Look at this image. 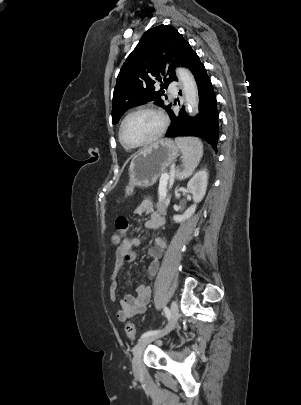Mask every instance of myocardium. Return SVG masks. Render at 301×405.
<instances>
[{
    "label": "myocardium",
    "instance_id": "1",
    "mask_svg": "<svg viewBox=\"0 0 301 405\" xmlns=\"http://www.w3.org/2000/svg\"><path fill=\"white\" fill-rule=\"evenodd\" d=\"M140 112H150V113L155 114L160 119V122H161L160 128L157 131V133L154 136H152L150 139H148L142 143H139V144H131V143L127 142L124 138V135H123L124 126H125L127 120L131 116H133L137 113H140ZM167 127H168V118L160 109L153 107V106H141V107H138V108L130 111L123 118V120L120 124V128H119V140L122 143V145L125 146L126 148H129V149L142 148V147L148 146V145L154 143L155 141H157L158 139H160L163 136V134L166 132Z\"/></svg>",
    "mask_w": 301,
    "mask_h": 405
}]
</instances>
